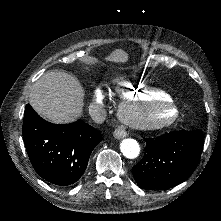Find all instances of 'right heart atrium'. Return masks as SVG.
Segmentation results:
<instances>
[{
  "instance_id": "obj_1",
  "label": "right heart atrium",
  "mask_w": 221,
  "mask_h": 221,
  "mask_svg": "<svg viewBox=\"0 0 221 221\" xmlns=\"http://www.w3.org/2000/svg\"><path fill=\"white\" fill-rule=\"evenodd\" d=\"M106 90H107V89H106V86H105V85H102V84H101V85H98V86L96 87V90H95V91H96V94H95V95H96V98H95V99H96V102H97V103H100V104H101V103H104V102H105V99H106V98H105Z\"/></svg>"
}]
</instances>
